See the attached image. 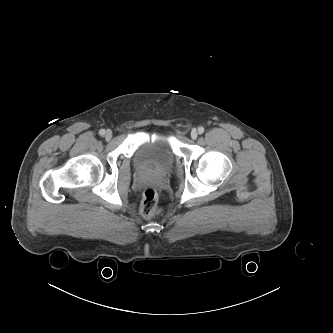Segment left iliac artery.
<instances>
[{"mask_svg":"<svg viewBox=\"0 0 333 333\" xmlns=\"http://www.w3.org/2000/svg\"><path fill=\"white\" fill-rule=\"evenodd\" d=\"M198 133H199V134L204 133V128H203V127H199V128H198Z\"/></svg>","mask_w":333,"mask_h":333,"instance_id":"left-iliac-artery-1","label":"left iliac artery"}]
</instances>
